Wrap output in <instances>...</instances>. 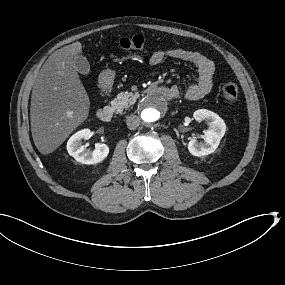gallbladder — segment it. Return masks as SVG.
Returning a JSON list of instances; mask_svg holds the SVG:
<instances>
[{
    "mask_svg": "<svg viewBox=\"0 0 285 285\" xmlns=\"http://www.w3.org/2000/svg\"><path fill=\"white\" fill-rule=\"evenodd\" d=\"M75 65L77 71L81 75H88L90 73L91 67L89 61L85 57L78 56L77 58H75Z\"/></svg>",
    "mask_w": 285,
    "mask_h": 285,
    "instance_id": "1",
    "label": "gallbladder"
}]
</instances>
